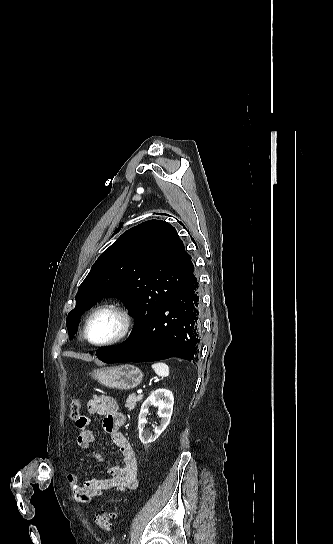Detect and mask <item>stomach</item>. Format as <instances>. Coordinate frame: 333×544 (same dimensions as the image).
Segmentation results:
<instances>
[{
    "label": "stomach",
    "instance_id": "0dacf381",
    "mask_svg": "<svg viewBox=\"0 0 333 544\" xmlns=\"http://www.w3.org/2000/svg\"><path fill=\"white\" fill-rule=\"evenodd\" d=\"M92 377L103 386L130 390L142 382L143 373L136 366L127 364L96 369L92 372Z\"/></svg>",
    "mask_w": 333,
    "mask_h": 544
}]
</instances>
